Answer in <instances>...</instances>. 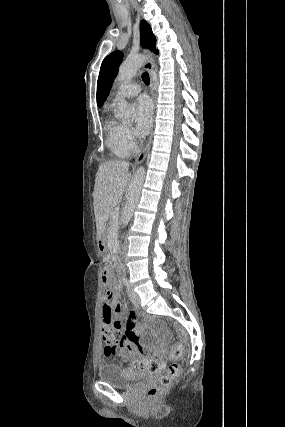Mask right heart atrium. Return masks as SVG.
I'll use <instances>...</instances> for the list:
<instances>
[{"mask_svg":"<svg viewBox=\"0 0 285 427\" xmlns=\"http://www.w3.org/2000/svg\"><path fill=\"white\" fill-rule=\"evenodd\" d=\"M124 140L126 144L133 150L136 147V136L133 129L129 126H124Z\"/></svg>","mask_w":285,"mask_h":427,"instance_id":"d8ad5b80","label":"right heart atrium"}]
</instances>
